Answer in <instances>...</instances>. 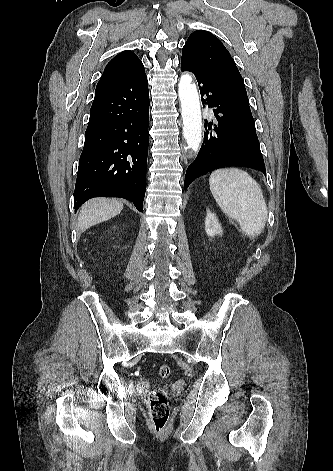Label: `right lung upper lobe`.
Instances as JSON below:
<instances>
[{
  "label": "right lung upper lobe",
  "mask_w": 333,
  "mask_h": 471,
  "mask_svg": "<svg viewBox=\"0 0 333 471\" xmlns=\"http://www.w3.org/2000/svg\"><path fill=\"white\" fill-rule=\"evenodd\" d=\"M143 73L144 66L140 59L130 50L123 51L105 67L96 86L95 97L124 89Z\"/></svg>",
  "instance_id": "cb5924a9"
}]
</instances>
